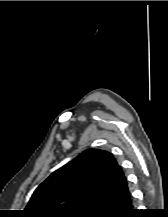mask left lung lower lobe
I'll list each match as a JSON object with an SVG mask.
<instances>
[{"label": "left lung lower lobe", "instance_id": "obj_1", "mask_svg": "<svg viewBox=\"0 0 168 217\" xmlns=\"http://www.w3.org/2000/svg\"><path fill=\"white\" fill-rule=\"evenodd\" d=\"M136 214L137 211L134 209L132 196L127 185L109 199L98 217H136Z\"/></svg>", "mask_w": 168, "mask_h": 217}]
</instances>
